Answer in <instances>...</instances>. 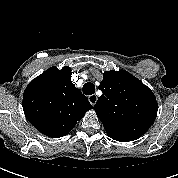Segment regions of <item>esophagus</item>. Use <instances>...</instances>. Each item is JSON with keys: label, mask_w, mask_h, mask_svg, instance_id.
Returning a JSON list of instances; mask_svg holds the SVG:
<instances>
[{"label": "esophagus", "mask_w": 178, "mask_h": 178, "mask_svg": "<svg viewBox=\"0 0 178 178\" xmlns=\"http://www.w3.org/2000/svg\"><path fill=\"white\" fill-rule=\"evenodd\" d=\"M88 100H89V102L91 103V105H95L96 104V102H97V96L96 95H90V96H88Z\"/></svg>", "instance_id": "esophagus-1"}]
</instances>
